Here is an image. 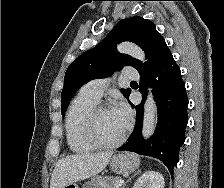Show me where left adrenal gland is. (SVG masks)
Wrapping results in <instances>:
<instances>
[{"label": "left adrenal gland", "mask_w": 224, "mask_h": 188, "mask_svg": "<svg viewBox=\"0 0 224 188\" xmlns=\"http://www.w3.org/2000/svg\"><path fill=\"white\" fill-rule=\"evenodd\" d=\"M138 173H140V170H138L131 178H129L127 181H126V183L123 185V188L126 186V184L129 182V181H131V179L135 176V175H137Z\"/></svg>", "instance_id": "obj_1"}]
</instances>
